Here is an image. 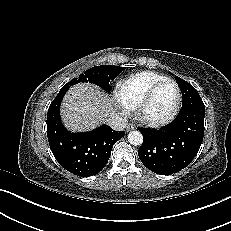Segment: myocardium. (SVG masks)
<instances>
[{
    "label": "myocardium",
    "instance_id": "obj_1",
    "mask_svg": "<svg viewBox=\"0 0 231 231\" xmlns=\"http://www.w3.org/2000/svg\"><path fill=\"white\" fill-rule=\"evenodd\" d=\"M165 83L173 84L175 89H176V101H175L173 108L170 110V112L167 115L160 117V118H151V117L146 116L144 112H145V108H146L149 100L151 99V97L153 96L155 91ZM180 104H181V90H180L179 85L177 84L176 81H174L171 78H164L161 81L154 84L143 95V97L141 98V100L139 101V103L136 106L135 116L144 125H147L150 127L163 126L165 124H168L170 121H172L174 119V117L178 113V110L180 108Z\"/></svg>",
    "mask_w": 231,
    "mask_h": 231
}]
</instances>
